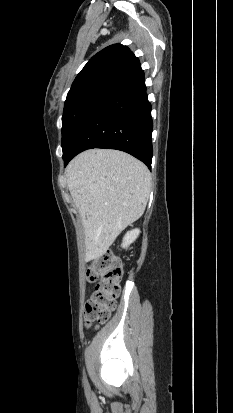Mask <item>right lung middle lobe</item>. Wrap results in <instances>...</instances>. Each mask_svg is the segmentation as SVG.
Instances as JSON below:
<instances>
[{
  "label": "right lung middle lobe",
  "instance_id": "dd1d6c3e",
  "mask_svg": "<svg viewBox=\"0 0 233 413\" xmlns=\"http://www.w3.org/2000/svg\"><path fill=\"white\" fill-rule=\"evenodd\" d=\"M115 80L113 78L93 80L68 93L62 117L63 158L69 153L87 118Z\"/></svg>",
  "mask_w": 233,
  "mask_h": 413
}]
</instances>
